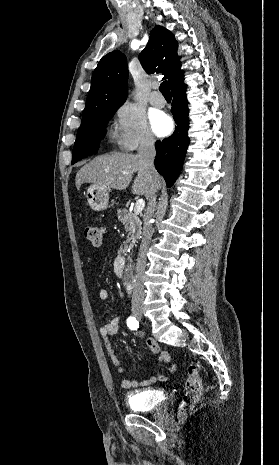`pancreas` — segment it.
Instances as JSON below:
<instances>
[{"label":"pancreas","instance_id":"1","mask_svg":"<svg viewBox=\"0 0 279 465\" xmlns=\"http://www.w3.org/2000/svg\"><path fill=\"white\" fill-rule=\"evenodd\" d=\"M117 216L128 233L123 245V250L127 251L136 245L137 240L141 238V220L137 215L130 213L128 209H119Z\"/></svg>","mask_w":279,"mask_h":465}]
</instances>
